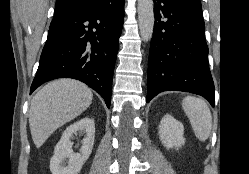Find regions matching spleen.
<instances>
[{
	"mask_svg": "<svg viewBox=\"0 0 249 174\" xmlns=\"http://www.w3.org/2000/svg\"><path fill=\"white\" fill-rule=\"evenodd\" d=\"M182 107L196 137L200 141L208 139L212 129V115L206 102L198 97L187 96L182 101Z\"/></svg>",
	"mask_w": 249,
	"mask_h": 174,
	"instance_id": "1",
	"label": "spleen"
}]
</instances>
